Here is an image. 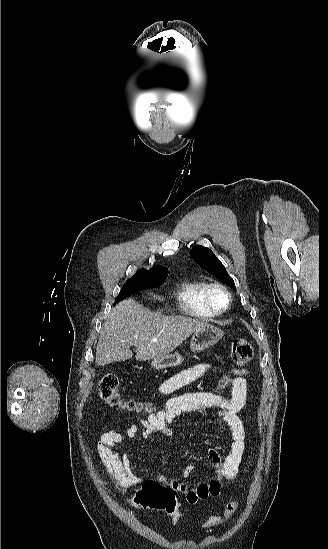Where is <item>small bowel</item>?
Wrapping results in <instances>:
<instances>
[{"mask_svg":"<svg viewBox=\"0 0 328 549\" xmlns=\"http://www.w3.org/2000/svg\"><path fill=\"white\" fill-rule=\"evenodd\" d=\"M212 368V364L202 362L183 370L179 374L164 381L158 388L160 394H170L202 377ZM236 375L231 396L221 397L211 392H191L168 399L156 413L141 418L142 429L139 430L132 422L127 424V434L135 440L148 439L152 435L171 437L174 434L172 425L175 419L184 413L214 411L224 422L231 436L229 452L223 455L224 444L220 442L215 447L208 448L215 474L207 481L190 486L174 481L172 486L184 496L189 504H196L209 497L221 494L226 481L236 478L245 451L246 432L239 417L246 404L247 375L245 368H235ZM223 432V431H222ZM123 438L115 428L102 433L97 444V452L101 463L114 488L121 493L142 485L146 479L136 468L130 455L122 448ZM189 464L184 470V476L191 472ZM164 480V478H161Z\"/></svg>","mask_w":328,"mask_h":549,"instance_id":"1","label":"small bowel"}]
</instances>
